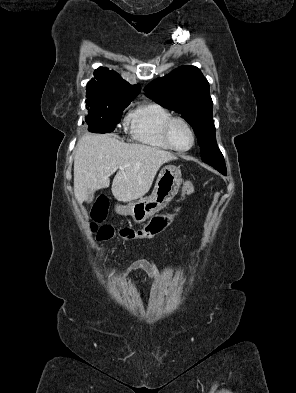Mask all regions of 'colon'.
Masks as SVG:
<instances>
[{"instance_id":"1","label":"colon","mask_w":296,"mask_h":393,"mask_svg":"<svg viewBox=\"0 0 296 393\" xmlns=\"http://www.w3.org/2000/svg\"><path fill=\"white\" fill-rule=\"evenodd\" d=\"M195 188L191 181H185L182 185V196L189 197L194 194ZM108 204L106 200H99L92 209L91 213V230L96 234L98 240H110L118 238L123 241H135L150 239L163 230H165L173 220V214L159 215L153 217L147 224L142 227H123L114 228L109 225L98 227L97 224L106 217Z\"/></svg>"}]
</instances>
